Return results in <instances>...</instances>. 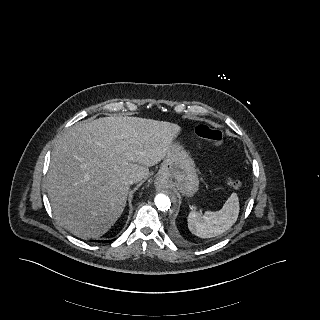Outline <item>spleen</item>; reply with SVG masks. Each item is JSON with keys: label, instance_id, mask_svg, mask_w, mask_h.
Returning <instances> with one entry per match:
<instances>
[{"label": "spleen", "instance_id": "obj_1", "mask_svg": "<svg viewBox=\"0 0 320 320\" xmlns=\"http://www.w3.org/2000/svg\"><path fill=\"white\" fill-rule=\"evenodd\" d=\"M239 210L238 196L232 193L219 211H206L204 214L191 211L187 219L189 230L201 238L215 237L236 222Z\"/></svg>", "mask_w": 320, "mask_h": 320}]
</instances>
